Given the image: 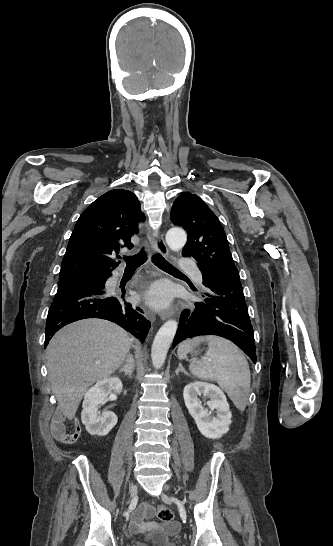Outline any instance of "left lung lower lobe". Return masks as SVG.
Wrapping results in <instances>:
<instances>
[{"label":"left lung lower lobe","mask_w":333,"mask_h":546,"mask_svg":"<svg viewBox=\"0 0 333 546\" xmlns=\"http://www.w3.org/2000/svg\"><path fill=\"white\" fill-rule=\"evenodd\" d=\"M202 273L204 300L182 312L173 348L187 338L217 335L234 342L256 363L253 328L240 280L220 281Z\"/></svg>","instance_id":"1"}]
</instances>
